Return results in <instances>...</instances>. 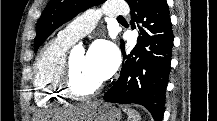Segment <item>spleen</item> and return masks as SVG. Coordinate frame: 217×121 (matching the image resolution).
<instances>
[{
  "label": "spleen",
  "mask_w": 217,
  "mask_h": 121,
  "mask_svg": "<svg viewBox=\"0 0 217 121\" xmlns=\"http://www.w3.org/2000/svg\"><path fill=\"white\" fill-rule=\"evenodd\" d=\"M124 111L128 114V121H140V115L136 110L125 108Z\"/></svg>",
  "instance_id": "obj_1"
}]
</instances>
